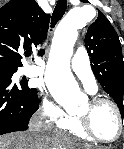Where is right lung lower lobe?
<instances>
[{"label": "right lung lower lobe", "mask_w": 124, "mask_h": 149, "mask_svg": "<svg viewBox=\"0 0 124 149\" xmlns=\"http://www.w3.org/2000/svg\"><path fill=\"white\" fill-rule=\"evenodd\" d=\"M11 75L0 72V135L24 131L39 108L35 89L11 83Z\"/></svg>", "instance_id": "right-lung-lower-lobe-1"}]
</instances>
